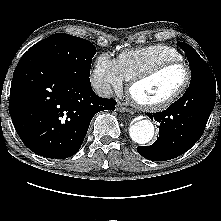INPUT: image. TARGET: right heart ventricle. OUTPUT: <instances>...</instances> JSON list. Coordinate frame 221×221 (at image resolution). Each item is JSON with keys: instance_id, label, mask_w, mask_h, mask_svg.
Masks as SVG:
<instances>
[{"instance_id": "e07e8e85", "label": "right heart ventricle", "mask_w": 221, "mask_h": 221, "mask_svg": "<svg viewBox=\"0 0 221 221\" xmlns=\"http://www.w3.org/2000/svg\"><path fill=\"white\" fill-rule=\"evenodd\" d=\"M182 59L181 53L174 47L165 44H153L123 51L117 58V64L123 78L131 80L158 63Z\"/></svg>"}]
</instances>
